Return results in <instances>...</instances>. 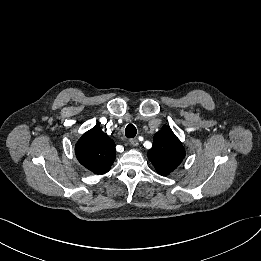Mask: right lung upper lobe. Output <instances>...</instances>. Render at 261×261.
<instances>
[{
	"instance_id": "cb5924a9",
	"label": "right lung upper lobe",
	"mask_w": 261,
	"mask_h": 261,
	"mask_svg": "<svg viewBox=\"0 0 261 261\" xmlns=\"http://www.w3.org/2000/svg\"><path fill=\"white\" fill-rule=\"evenodd\" d=\"M75 154L84 167L95 174H104L115 160V143L99 126H95L79 139Z\"/></svg>"
}]
</instances>
